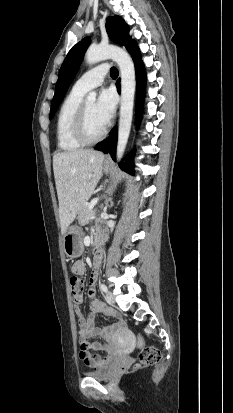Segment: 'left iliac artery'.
I'll use <instances>...</instances> for the list:
<instances>
[{
    "label": "left iliac artery",
    "mask_w": 233,
    "mask_h": 413,
    "mask_svg": "<svg viewBox=\"0 0 233 413\" xmlns=\"http://www.w3.org/2000/svg\"><path fill=\"white\" fill-rule=\"evenodd\" d=\"M100 288L102 291L107 292V287L105 284H100Z\"/></svg>",
    "instance_id": "left-iliac-artery-1"
}]
</instances>
